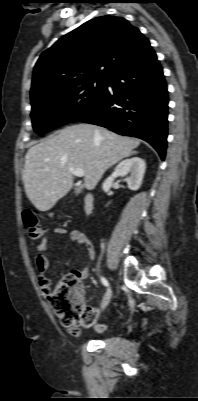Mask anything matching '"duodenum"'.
<instances>
[{
  "label": "duodenum",
  "instance_id": "1",
  "mask_svg": "<svg viewBox=\"0 0 198 401\" xmlns=\"http://www.w3.org/2000/svg\"><path fill=\"white\" fill-rule=\"evenodd\" d=\"M95 197L93 193H87L84 199V210L87 215H91L94 211Z\"/></svg>",
  "mask_w": 198,
  "mask_h": 401
}]
</instances>
